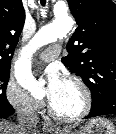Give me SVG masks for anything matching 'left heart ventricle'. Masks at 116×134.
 Returning <instances> with one entry per match:
<instances>
[{"instance_id":"b2bd125f","label":"left heart ventricle","mask_w":116,"mask_h":134,"mask_svg":"<svg viewBox=\"0 0 116 134\" xmlns=\"http://www.w3.org/2000/svg\"><path fill=\"white\" fill-rule=\"evenodd\" d=\"M51 105L62 114L73 115L81 109L82 97L73 85L65 82L62 93Z\"/></svg>"}]
</instances>
